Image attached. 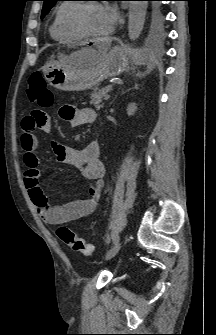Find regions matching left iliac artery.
Here are the masks:
<instances>
[{
	"label": "left iliac artery",
	"mask_w": 216,
	"mask_h": 335,
	"mask_svg": "<svg viewBox=\"0 0 216 335\" xmlns=\"http://www.w3.org/2000/svg\"><path fill=\"white\" fill-rule=\"evenodd\" d=\"M120 236L117 229H113L111 232V241L113 245H116L119 242Z\"/></svg>",
	"instance_id": "1"
}]
</instances>
